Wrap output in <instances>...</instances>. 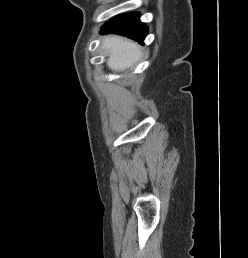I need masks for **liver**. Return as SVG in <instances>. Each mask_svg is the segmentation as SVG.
I'll use <instances>...</instances> for the list:
<instances>
[{
	"label": "liver",
	"instance_id": "6515ba94",
	"mask_svg": "<svg viewBox=\"0 0 248 258\" xmlns=\"http://www.w3.org/2000/svg\"><path fill=\"white\" fill-rule=\"evenodd\" d=\"M102 48L108 54L107 66L114 71L131 68L141 57V48L123 37L109 35L102 41Z\"/></svg>",
	"mask_w": 248,
	"mask_h": 258
}]
</instances>
